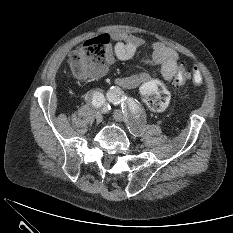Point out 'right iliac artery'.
Returning <instances> with one entry per match:
<instances>
[{"label":"right iliac artery","mask_w":233,"mask_h":233,"mask_svg":"<svg viewBox=\"0 0 233 233\" xmlns=\"http://www.w3.org/2000/svg\"><path fill=\"white\" fill-rule=\"evenodd\" d=\"M86 101L92 104L94 107L102 109L103 111H107L109 108L104 95L99 91L89 92L86 96Z\"/></svg>","instance_id":"right-iliac-artery-1"}]
</instances>
